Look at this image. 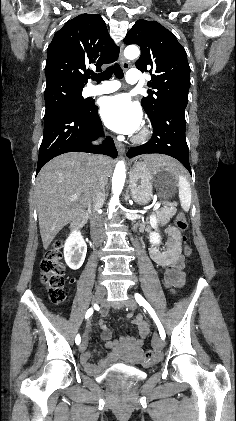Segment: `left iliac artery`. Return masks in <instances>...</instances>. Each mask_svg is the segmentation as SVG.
<instances>
[{
	"instance_id": "left-iliac-artery-1",
	"label": "left iliac artery",
	"mask_w": 236,
	"mask_h": 421,
	"mask_svg": "<svg viewBox=\"0 0 236 421\" xmlns=\"http://www.w3.org/2000/svg\"><path fill=\"white\" fill-rule=\"evenodd\" d=\"M134 296H135V299H136L137 303L140 306H143L148 311V313L151 315V317L153 318L154 322L156 323V325L158 327L160 337L164 340L165 337H166L164 328H163L159 318L157 317L155 311L153 310V308L150 306V304L139 293H135Z\"/></svg>"
}]
</instances>
